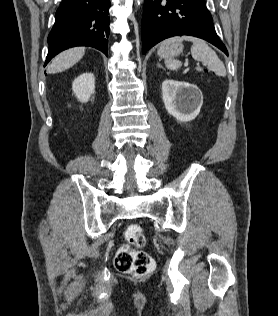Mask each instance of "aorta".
I'll list each match as a JSON object with an SVG mask.
<instances>
[{
	"label": "aorta",
	"mask_w": 278,
	"mask_h": 316,
	"mask_svg": "<svg viewBox=\"0 0 278 316\" xmlns=\"http://www.w3.org/2000/svg\"><path fill=\"white\" fill-rule=\"evenodd\" d=\"M136 1V5H140L142 2H143V0H135Z\"/></svg>",
	"instance_id": "762f6f07"
}]
</instances>
